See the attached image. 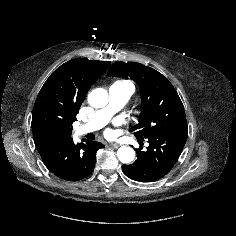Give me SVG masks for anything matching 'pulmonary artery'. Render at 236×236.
Listing matches in <instances>:
<instances>
[{"mask_svg":"<svg viewBox=\"0 0 236 236\" xmlns=\"http://www.w3.org/2000/svg\"><path fill=\"white\" fill-rule=\"evenodd\" d=\"M132 86L123 81H117L109 87V102L103 109L96 111L89 122L78 127L77 135L94 132L105 126L110 118L119 111L130 99Z\"/></svg>","mask_w":236,"mask_h":236,"instance_id":"1","label":"pulmonary artery"}]
</instances>
